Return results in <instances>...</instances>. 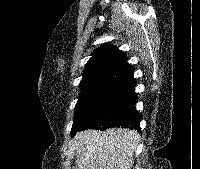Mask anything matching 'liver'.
I'll return each mask as SVG.
<instances>
[{
  "mask_svg": "<svg viewBox=\"0 0 200 169\" xmlns=\"http://www.w3.org/2000/svg\"><path fill=\"white\" fill-rule=\"evenodd\" d=\"M139 138L137 131L123 128L78 132L72 140L73 169H132Z\"/></svg>",
  "mask_w": 200,
  "mask_h": 169,
  "instance_id": "obj_1",
  "label": "liver"
}]
</instances>
